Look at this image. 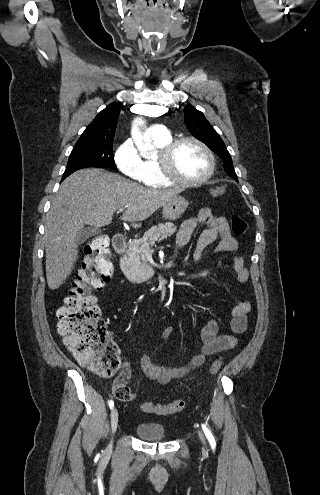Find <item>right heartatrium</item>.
I'll return each mask as SVG.
<instances>
[{
	"label": "right heart atrium",
	"mask_w": 320,
	"mask_h": 495,
	"mask_svg": "<svg viewBox=\"0 0 320 495\" xmlns=\"http://www.w3.org/2000/svg\"><path fill=\"white\" fill-rule=\"evenodd\" d=\"M114 159L117 167L124 175L132 180L144 182L145 172L143 161L130 139H126L119 145Z\"/></svg>",
	"instance_id": "d8ad5b80"
}]
</instances>
